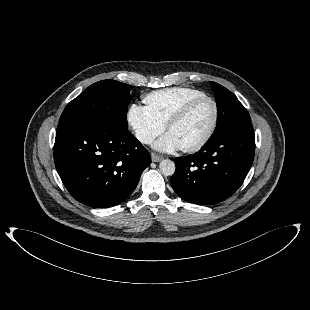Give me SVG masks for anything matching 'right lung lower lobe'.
Wrapping results in <instances>:
<instances>
[{
    "label": "right lung lower lobe",
    "mask_w": 310,
    "mask_h": 310,
    "mask_svg": "<svg viewBox=\"0 0 310 310\" xmlns=\"http://www.w3.org/2000/svg\"><path fill=\"white\" fill-rule=\"evenodd\" d=\"M54 160L63 184L77 201L106 208L134 191L151 157L128 130L75 120L58 125Z\"/></svg>",
    "instance_id": "98d812e1"
}]
</instances>
